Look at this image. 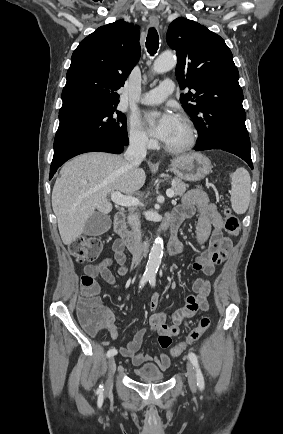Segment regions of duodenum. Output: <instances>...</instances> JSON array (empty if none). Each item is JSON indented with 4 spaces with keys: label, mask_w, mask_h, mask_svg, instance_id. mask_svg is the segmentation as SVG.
Listing matches in <instances>:
<instances>
[{
    "label": "duodenum",
    "mask_w": 283,
    "mask_h": 434,
    "mask_svg": "<svg viewBox=\"0 0 283 434\" xmlns=\"http://www.w3.org/2000/svg\"><path fill=\"white\" fill-rule=\"evenodd\" d=\"M169 226L170 243L177 239L178 229L171 223L166 222L162 227L161 233L163 234L164 232H166ZM114 231L118 235L119 240L122 242L124 247H127L135 256H145L148 253L149 245H139L135 237L128 230L126 225V214L123 211H118L114 215Z\"/></svg>",
    "instance_id": "duodenum-1"
}]
</instances>
